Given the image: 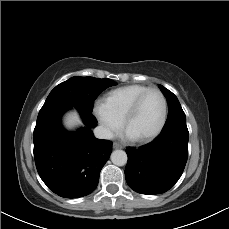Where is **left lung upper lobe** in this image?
Segmentation results:
<instances>
[{"instance_id":"left-lung-upper-lobe-1","label":"left lung upper lobe","mask_w":229,"mask_h":229,"mask_svg":"<svg viewBox=\"0 0 229 229\" xmlns=\"http://www.w3.org/2000/svg\"><path fill=\"white\" fill-rule=\"evenodd\" d=\"M159 88L167 98L168 102V117L163 130L170 128L174 125L184 123L186 124V116L177 97L168 89L159 84Z\"/></svg>"}]
</instances>
